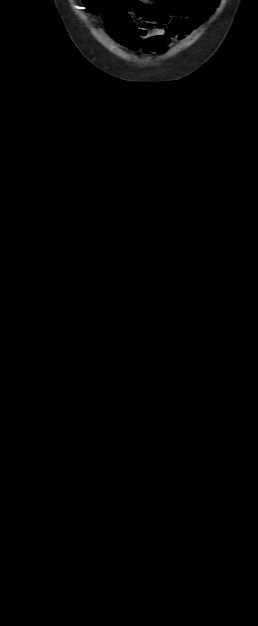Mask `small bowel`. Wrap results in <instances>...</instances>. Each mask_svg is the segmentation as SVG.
Segmentation results:
<instances>
[{
	"instance_id": "c3829d8e",
	"label": "small bowel",
	"mask_w": 258,
	"mask_h": 626,
	"mask_svg": "<svg viewBox=\"0 0 258 626\" xmlns=\"http://www.w3.org/2000/svg\"><path fill=\"white\" fill-rule=\"evenodd\" d=\"M91 1L101 3L107 30L118 43L133 51L142 49L158 55L166 53L172 40H182L199 27L219 4V0L169 1L158 16L137 25L119 0Z\"/></svg>"
}]
</instances>
